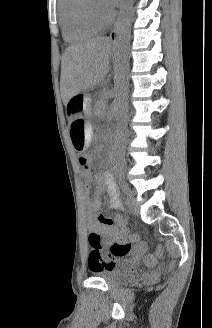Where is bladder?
Instances as JSON below:
<instances>
[{
  "instance_id": "bladder-1",
  "label": "bladder",
  "mask_w": 212,
  "mask_h": 328,
  "mask_svg": "<svg viewBox=\"0 0 212 328\" xmlns=\"http://www.w3.org/2000/svg\"><path fill=\"white\" fill-rule=\"evenodd\" d=\"M93 274L105 280L109 285H122L131 281L134 277L131 273L116 270H97Z\"/></svg>"
}]
</instances>
